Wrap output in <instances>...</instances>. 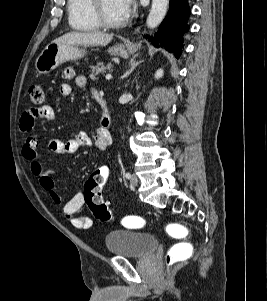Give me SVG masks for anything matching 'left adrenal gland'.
<instances>
[{
  "label": "left adrenal gland",
  "instance_id": "obj_1",
  "mask_svg": "<svg viewBox=\"0 0 267 301\" xmlns=\"http://www.w3.org/2000/svg\"><path fill=\"white\" fill-rule=\"evenodd\" d=\"M142 61H136L135 57L132 58L129 62L130 68L124 73V75L122 76V78H126L128 77L132 71L141 63Z\"/></svg>",
  "mask_w": 267,
  "mask_h": 301
}]
</instances>
